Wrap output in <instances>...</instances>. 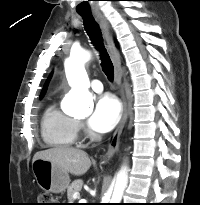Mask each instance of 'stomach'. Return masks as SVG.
Listing matches in <instances>:
<instances>
[{
    "instance_id": "stomach-1",
    "label": "stomach",
    "mask_w": 200,
    "mask_h": 205,
    "mask_svg": "<svg viewBox=\"0 0 200 205\" xmlns=\"http://www.w3.org/2000/svg\"><path fill=\"white\" fill-rule=\"evenodd\" d=\"M32 171L38 185L45 191L62 193L69 186L68 172L51 161L43 159L33 161Z\"/></svg>"
}]
</instances>
